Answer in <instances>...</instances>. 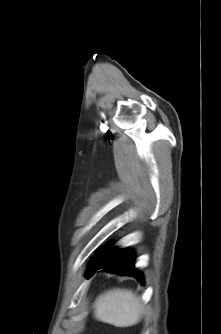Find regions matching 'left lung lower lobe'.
Here are the masks:
<instances>
[{
	"instance_id": "1",
	"label": "left lung lower lobe",
	"mask_w": 221,
	"mask_h": 334,
	"mask_svg": "<svg viewBox=\"0 0 221 334\" xmlns=\"http://www.w3.org/2000/svg\"><path fill=\"white\" fill-rule=\"evenodd\" d=\"M97 269L120 275H128L144 283L143 274L134 268V253L129 250H114L101 253L87 272L90 278Z\"/></svg>"
}]
</instances>
